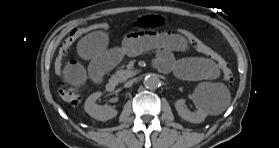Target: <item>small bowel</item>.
<instances>
[{
	"mask_svg": "<svg viewBox=\"0 0 279 148\" xmlns=\"http://www.w3.org/2000/svg\"><path fill=\"white\" fill-rule=\"evenodd\" d=\"M108 44L109 38L104 31H95L84 36L78 44V53L82 59L89 61V65L85 68L77 61L66 62V81L75 86H82L87 79L99 81L106 71L124 57L136 56L149 50L156 51L155 65L161 71L174 70L180 78L207 80L219 75L218 66L209 59L190 57L176 61L173 52L188 50V43L172 32H134L118 47L110 48Z\"/></svg>",
	"mask_w": 279,
	"mask_h": 148,
	"instance_id": "1",
	"label": "small bowel"
}]
</instances>
